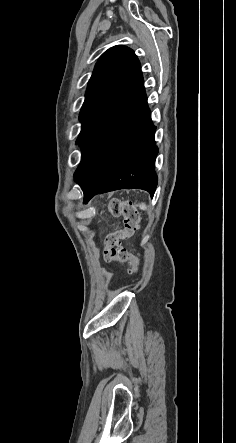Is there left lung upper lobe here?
Masks as SVG:
<instances>
[{
	"label": "left lung upper lobe",
	"instance_id": "5c2ea615",
	"mask_svg": "<svg viewBox=\"0 0 236 443\" xmlns=\"http://www.w3.org/2000/svg\"><path fill=\"white\" fill-rule=\"evenodd\" d=\"M141 73L134 51L117 45L105 51L97 61L88 82L79 119L82 129L76 143L91 125L109 109Z\"/></svg>",
	"mask_w": 236,
	"mask_h": 443
}]
</instances>
